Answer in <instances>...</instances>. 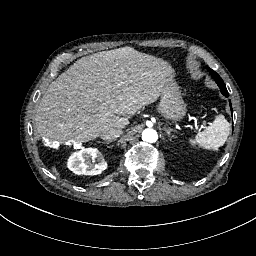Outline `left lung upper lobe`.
Listing matches in <instances>:
<instances>
[{
	"label": "left lung upper lobe",
	"instance_id": "1",
	"mask_svg": "<svg viewBox=\"0 0 256 256\" xmlns=\"http://www.w3.org/2000/svg\"><path fill=\"white\" fill-rule=\"evenodd\" d=\"M207 69H208V71L211 73V75L213 76V78L215 79V81H216V83L218 84V86L220 87L221 93H222L224 96L228 97V96H229L228 91H227L226 86H225L223 80L221 79V77H220L215 71H213L212 69H210L209 67H208ZM229 103H230V107H232L230 100H229Z\"/></svg>",
	"mask_w": 256,
	"mask_h": 256
}]
</instances>
